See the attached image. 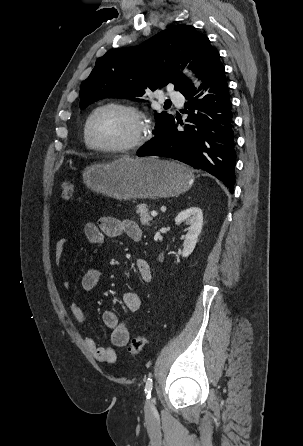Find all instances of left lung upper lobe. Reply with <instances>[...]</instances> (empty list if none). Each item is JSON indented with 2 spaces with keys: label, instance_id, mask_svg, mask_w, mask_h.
Here are the masks:
<instances>
[{
  "label": "left lung upper lobe",
  "instance_id": "obj_1",
  "mask_svg": "<svg viewBox=\"0 0 303 446\" xmlns=\"http://www.w3.org/2000/svg\"><path fill=\"white\" fill-rule=\"evenodd\" d=\"M216 53L208 37L188 25L164 30L136 47L110 50L97 59L91 74L82 82L80 107L108 97L134 99L143 96L147 87L155 90L168 83L182 93L193 84L175 66L189 64L201 77ZM155 119L156 135L174 117L162 112L156 113Z\"/></svg>",
  "mask_w": 303,
  "mask_h": 446
}]
</instances>
